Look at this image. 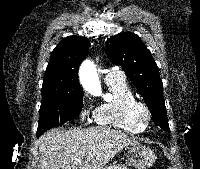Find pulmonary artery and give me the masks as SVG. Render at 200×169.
<instances>
[{
	"label": "pulmonary artery",
	"mask_w": 200,
	"mask_h": 169,
	"mask_svg": "<svg viewBox=\"0 0 200 169\" xmlns=\"http://www.w3.org/2000/svg\"><path fill=\"white\" fill-rule=\"evenodd\" d=\"M116 77H123L119 72H109L105 75V80L113 79Z\"/></svg>",
	"instance_id": "pulmonary-artery-1"
}]
</instances>
